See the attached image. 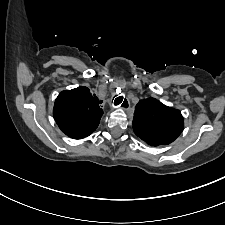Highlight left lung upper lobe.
Wrapping results in <instances>:
<instances>
[{"mask_svg": "<svg viewBox=\"0 0 225 225\" xmlns=\"http://www.w3.org/2000/svg\"><path fill=\"white\" fill-rule=\"evenodd\" d=\"M183 127L181 112L154 98L140 100L136 105L133 130L151 146L172 143L181 134Z\"/></svg>", "mask_w": 225, "mask_h": 225, "instance_id": "left-lung-upper-lobe-1", "label": "left lung upper lobe"}]
</instances>
